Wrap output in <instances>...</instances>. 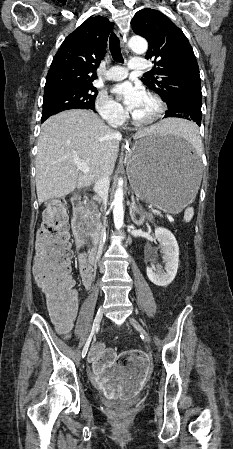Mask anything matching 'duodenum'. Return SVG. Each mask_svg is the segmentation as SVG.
I'll return each instance as SVG.
<instances>
[{"mask_svg":"<svg viewBox=\"0 0 233 449\" xmlns=\"http://www.w3.org/2000/svg\"><path fill=\"white\" fill-rule=\"evenodd\" d=\"M83 198L75 196L73 198V230L77 239V244L81 246L84 242L87 233L86 217L83 212ZM98 249L92 248L89 251L82 252L79 256V270L80 272H92L94 274V267L98 261ZM93 280V279H92Z\"/></svg>","mask_w":233,"mask_h":449,"instance_id":"duodenum-1","label":"duodenum"}]
</instances>
